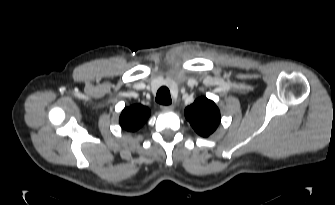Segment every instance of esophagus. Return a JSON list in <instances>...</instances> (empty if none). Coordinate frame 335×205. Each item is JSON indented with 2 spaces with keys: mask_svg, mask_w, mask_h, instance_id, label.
<instances>
[{
  "mask_svg": "<svg viewBox=\"0 0 335 205\" xmlns=\"http://www.w3.org/2000/svg\"><path fill=\"white\" fill-rule=\"evenodd\" d=\"M161 109L162 110H173L174 109V105H162Z\"/></svg>",
  "mask_w": 335,
  "mask_h": 205,
  "instance_id": "34e87169",
  "label": "esophagus"
}]
</instances>
